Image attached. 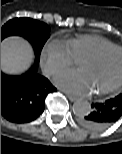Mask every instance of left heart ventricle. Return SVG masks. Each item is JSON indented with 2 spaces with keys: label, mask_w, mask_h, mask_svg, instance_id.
Listing matches in <instances>:
<instances>
[{
  "label": "left heart ventricle",
  "mask_w": 122,
  "mask_h": 154,
  "mask_svg": "<svg viewBox=\"0 0 122 154\" xmlns=\"http://www.w3.org/2000/svg\"><path fill=\"white\" fill-rule=\"evenodd\" d=\"M78 67L85 73L93 91L103 90L122 75V52H110L99 60L81 58Z\"/></svg>",
  "instance_id": "obj_1"
}]
</instances>
